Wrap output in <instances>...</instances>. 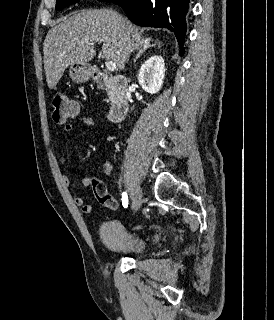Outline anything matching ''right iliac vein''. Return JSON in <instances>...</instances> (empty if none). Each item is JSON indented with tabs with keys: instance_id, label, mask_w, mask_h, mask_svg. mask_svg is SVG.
I'll list each match as a JSON object with an SVG mask.
<instances>
[{
	"instance_id": "right-iliac-vein-1",
	"label": "right iliac vein",
	"mask_w": 274,
	"mask_h": 320,
	"mask_svg": "<svg viewBox=\"0 0 274 320\" xmlns=\"http://www.w3.org/2000/svg\"><path fill=\"white\" fill-rule=\"evenodd\" d=\"M142 190L140 189V187H137L135 189V193L132 197V209L134 210V212L138 211L139 208L142 205Z\"/></svg>"
}]
</instances>
